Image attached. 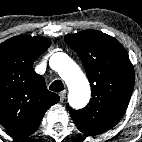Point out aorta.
Masks as SVG:
<instances>
[{
    "instance_id": "aorta-1",
    "label": "aorta",
    "mask_w": 142,
    "mask_h": 142,
    "mask_svg": "<svg viewBox=\"0 0 142 142\" xmlns=\"http://www.w3.org/2000/svg\"><path fill=\"white\" fill-rule=\"evenodd\" d=\"M50 66L57 71L69 88V102L74 108H83L90 99V85L80 67L65 53H55Z\"/></svg>"
}]
</instances>
